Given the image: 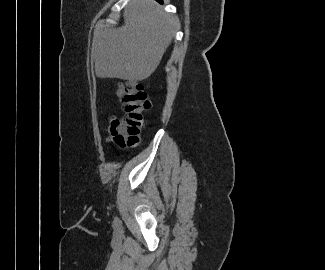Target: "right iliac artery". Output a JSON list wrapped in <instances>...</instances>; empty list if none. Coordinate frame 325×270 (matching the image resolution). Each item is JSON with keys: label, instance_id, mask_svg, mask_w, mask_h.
<instances>
[{"label": "right iliac artery", "instance_id": "obj_1", "mask_svg": "<svg viewBox=\"0 0 325 270\" xmlns=\"http://www.w3.org/2000/svg\"><path fill=\"white\" fill-rule=\"evenodd\" d=\"M114 222H115V224H119L120 223V221H119V219L117 217L115 218Z\"/></svg>", "mask_w": 325, "mask_h": 270}]
</instances>
